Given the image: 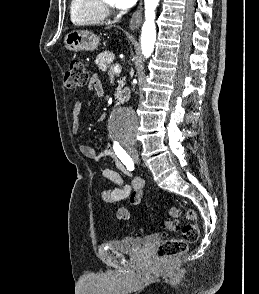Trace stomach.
Returning <instances> with one entry per match:
<instances>
[{
    "label": "stomach",
    "mask_w": 259,
    "mask_h": 294,
    "mask_svg": "<svg viewBox=\"0 0 259 294\" xmlns=\"http://www.w3.org/2000/svg\"><path fill=\"white\" fill-rule=\"evenodd\" d=\"M99 37L90 31H72L64 38L66 49L70 51H94L99 46Z\"/></svg>",
    "instance_id": "stomach-1"
}]
</instances>
